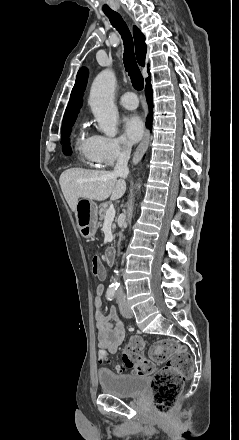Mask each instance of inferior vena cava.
Masks as SVG:
<instances>
[{"instance_id":"602c4592","label":"inferior vena cava","mask_w":239,"mask_h":440,"mask_svg":"<svg viewBox=\"0 0 239 440\" xmlns=\"http://www.w3.org/2000/svg\"><path fill=\"white\" fill-rule=\"evenodd\" d=\"M121 144L120 150L116 152L117 162L115 164L114 174H117L120 178H127L129 174L128 160L130 158L132 144H130L126 138L121 140ZM116 298L119 300V307H130V304L124 301L127 297L124 296L122 288H119Z\"/></svg>"}]
</instances>
